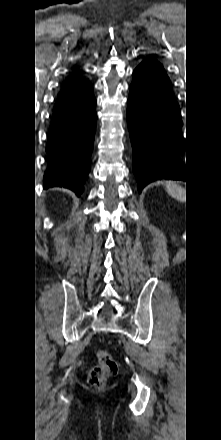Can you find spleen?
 <instances>
[{
  "mask_svg": "<svg viewBox=\"0 0 221 440\" xmlns=\"http://www.w3.org/2000/svg\"><path fill=\"white\" fill-rule=\"evenodd\" d=\"M165 187L168 194L174 199L181 202L185 200V190L183 187L179 186L173 181L166 182Z\"/></svg>",
  "mask_w": 221,
  "mask_h": 440,
  "instance_id": "3e777b00",
  "label": "spleen"
}]
</instances>
